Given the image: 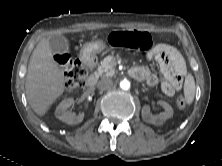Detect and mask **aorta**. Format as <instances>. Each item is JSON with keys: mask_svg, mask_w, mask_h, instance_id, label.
<instances>
[{"mask_svg": "<svg viewBox=\"0 0 222 166\" xmlns=\"http://www.w3.org/2000/svg\"><path fill=\"white\" fill-rule=\"evenodd\" d=\"M120 87L123 89V90H128L130 88V82L128 80H122L120 82Z\"/></svg>", "mask_w": 222, "mask_h": 166, "instance_id": "obj_1", "label": "aorta"}]
</instances>
